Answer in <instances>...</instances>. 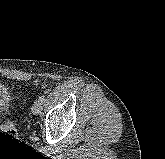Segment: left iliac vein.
Returning <instances> with one entry per match:
<instances>
[{"label": "left iliac vein", "instance_id": "4c4485c4", "mask_svg": "<svg viewBox=\"0 0 165 159\" xmlns=\"http://www.w3.org/2000/svg\"><path fill=\"white\" fill-rule=\"evenodd\" d=\"M42 104L43 103L40 100L35 101L34 104H33V111L34 112H39L42 108Z\"/></svg>", "mask_w": 165, "mask_h": 159}]
</instances>
